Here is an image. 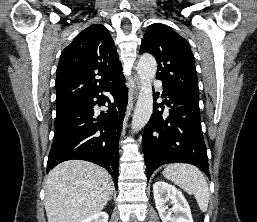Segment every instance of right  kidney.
Wrapping results in <instances>:
<instances>
[{
    "label": "right kidney",
    "instance_id": "1",
    "mask_svg": "<svg viewBox=\"0 0 257 222\" xmlns=\"http://www.w3.org/2000/svg\"><path fill=\"white\" fill-rule=\"evenodd\" d=\"M108 218L109 215L106 212H98L87 217L82 222H108Z\"/></svg>",
    "mask_w": 257,
    "mask_h": 222
}]
</instances>
